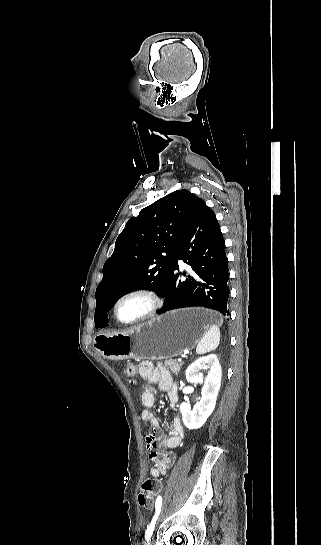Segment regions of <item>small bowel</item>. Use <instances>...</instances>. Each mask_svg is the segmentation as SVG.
Returning <instances> with one entry per match:
<instances>
[{"mask_svg": "<svg viewBox=\"0 0 321 545\" xmlns=\"http://www.w3.org/2000/svg\"><path fill=\"white\" fill-rule=\"evenodd\" d=\"M139 373L143 381L148 383H157L159 390L168 396L171 407L178 401V389L173 382L169 371L162 365L154 366L150 361H144L139 366ZM141 402L145 409L142 411V419L150 424L152 431L145 437L149 459L154 464L150 469V475L153 478L164 476L167 470L175 460V455L171 451L180 445L184 438L183 426L177 416L171 415L169 418L167 434L161 435L159 421L150 411L155 404L154 393L149 389H143L141 393Z\"/></svg>", "mask_w": 321, "mask_h": 545, "instance_id": "c3829d8e", "label": "small bowel"}]
</instances>
